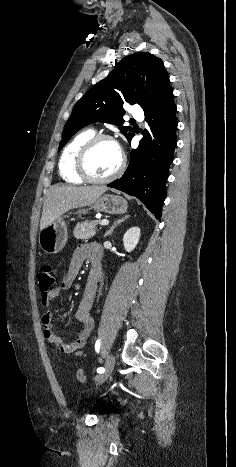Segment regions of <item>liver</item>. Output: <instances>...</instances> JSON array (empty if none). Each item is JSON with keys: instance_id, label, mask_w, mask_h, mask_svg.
<instances>
[{"instance_id": "liver-1", "label": "liver", "mask_w": 236, "mask_h": 467, "mask_svg": "<svg viewBox=\"0 0 236 467\" xmlns=\"http://www.w3.org/2000/svg\"><path fill=\"white\" fill-rule=\"evenodd\" d=\"M106 190L105 186H53L44 201L40 230L70 209L93 204Z\"/></svg>"}]
</instances>
